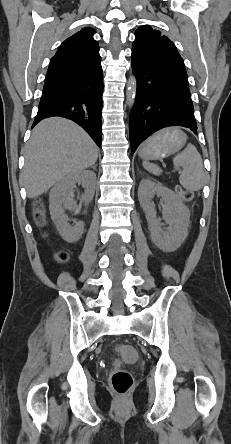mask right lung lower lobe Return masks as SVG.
Returning a JSON list of instances; mask_svg holds the SVG:
<instances>
[{
    "label": "right lung lower lobe",
    "instance_id": "obj_1",
    "mask_svg": "<svg viewBox=\"0 0 231 444\" xmlns=\"http://www.w3.org/2000/svg\"><path fill=\"white\" fill-rule=\"evenodd\" d=\"M102 76V68H99L87 74L45 82L33 126L50 116L65 117L82 126L101 147Z\"/></svg>",
    "mask_w": 231,
    "mask_h": 444
}]
</instances>
